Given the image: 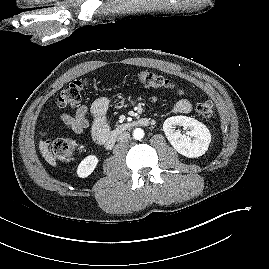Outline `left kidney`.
I'll use <instances>...</instances> for the list:
<instances>
[{
    "mask_svg": "<svg viewBox=\"0 0 269 269\" xmlns=\"http://www.w3.org/2000/svg\"><path fill=\"white\" fill-rule=\"evenodd\" d=\"M176 126L188 129L186 135L175 130ZM163 131L174 149L188 158L200 157L208 150L211 134L208 128L198 120L187 116H172L163 124Z\"/></svg>",
    "mask_w": 269,
    "mask_h": 269,
    "instance_id": "obj_1",
    "label": "left kidney"
}]
</instances>
